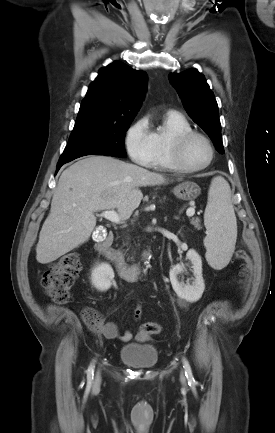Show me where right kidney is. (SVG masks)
Returning a JSON list of instances; mask_svg holds the SVG:
<instances>
[{"instance_id": "1", "label": "right kidney", "mask_w": 275, "mask_h": 433, "mask_svg": "<svg viewBox=\"0 0 275 433\" xmlns=\"http://www.w3.org/2000/svg\"><path fill=\"white\" fill-rule=\"evenodd\" d=\"M114 279V271L109 264L102 263L97 265L91 273V282L100 291L108 290Z\"/></svg>"}]
</instances>
